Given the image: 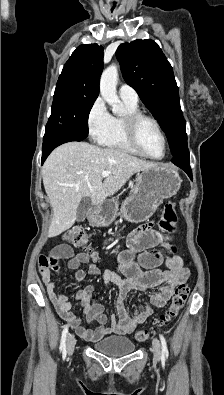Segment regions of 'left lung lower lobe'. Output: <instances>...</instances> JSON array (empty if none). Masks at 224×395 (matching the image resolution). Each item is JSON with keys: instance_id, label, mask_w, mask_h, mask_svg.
Here are the masks:
<instances>
[{"instance_id": "obj_1", "label": "left lung lower lobe", "mask_w": 224, "mask_h": 395, "mask_svg": "<svg viewBox=\"0 0 224 395\" xmlns=\"http://www.w3.org/2000/svg\"><path fill=\"white\" fill-rule=\"evenodd\" d=\"M189 157H190L189 151H188V148L186 146L176 156H173L171 161L175 165H177L178 167L183 169L188 174V176L192 179V171H191V168H190V159H189Z\"/></svg>"}]
</instances>
